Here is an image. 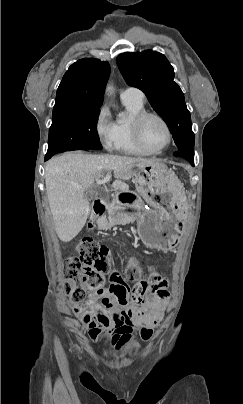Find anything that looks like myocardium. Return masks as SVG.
Masks as SVG:
<instances>
[{"label": "myocardium", "instance_id": "f54148a6", "mask_svg": "<svg viewBox=\"0 0 243 404\" xmlns=\"http://www.w3.org/2000/svg\"><path fill=\"white\" fill-rule=\"evenodd\" d=\"M145 97V96H144ZM150 116H155L157 118H159L164 125L167 128L168 131V141L165 144L164 147L160 148V149H153L151 147H149L148 145L145 144V142L142 140L141 135H140V126L143 123V121L150 117ZM130 131L132 134V137L135 141V143L142 148L143 150H145L148 153L151 154H155V153H161L165 150H167L172 142H173V129L171 127V124L169 123V121L159 112L156 111H150V110H144L141 113H139L137 116H135L131 122H130Z\"/></svg>", "mask_w": 243, "mask_h": 404}]
</instances>
